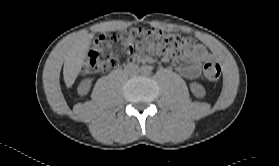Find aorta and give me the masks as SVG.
I'll use <instances>...</instances> for the list:
<instances>
[{
    "instance_id": "obj_1",
    "label": "aorta",
    "mask_w": 279,
    "mask_h": 166,
    "mask_svg": "<svg viewBox=\"0 0 279 166\" xmlns=\"http://www.w3.org/2000/svg\"><path fill=\"white\" fill-rule=\"evenodd\" d=\"M141 72L145 75H149L151 73V68L149 66H143Z\"/></svg>"
}]
</instances>
